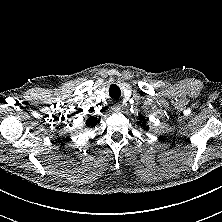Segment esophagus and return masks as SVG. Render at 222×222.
<instances>
[{
	"mask_svg": "<svg viewBox=\"0 0 222 222\" xmlns=\"http://www.w3.org/2000/svg\"><path fill=\"white\" fill-rule=\"evenodd\" d=\"M113 111H120L121 109V105L119 103H115L113 104V106L111 107Z\"/></svg>",
	"mask_w": 222,
	"mask_h": 222,
	"instance_id": "34e87169",
	"label": "esophagus"
}]
</instances>
